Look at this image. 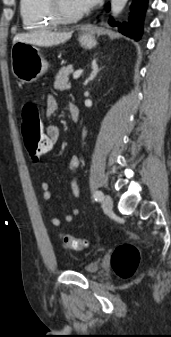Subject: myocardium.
<instances>
[{"label": "myocardium", "mask_w": 171, "mask_h": 337, "mask_svg": "<svg viewBox=\"0 0 171 337\" xmlns=\"http://www.w3.org/2000/svg\"><path fill=\"white\" fill-rule=\"evenodd\" d=\"M50 11L53 17L58 21V23L66 24L73 23L80 20L85 12H79L76 14L68 13L62 6L61 0H48Z\"/></svg>", "instance_id": "f54148a6"}]
</instances>
